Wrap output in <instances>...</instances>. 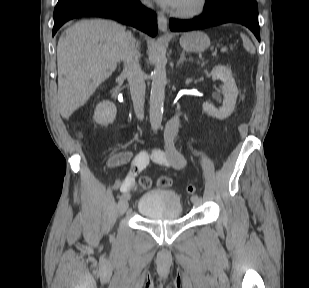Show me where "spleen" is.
<instances>
[{"label": "spleen", "mask_w": 309, "mask_h": 288, "mask_svg": "<svg viewBox=\"0 0 309 288\" xmlns=\"http://www.w3.org/2000/svg\"><path fill=\"white\" fill-rule=\"evenodd\" d=\"M241 37H242L243 45H244L245 49L249 53L254 54L255 48H254L253 44L251 43V41L245 35H241Z\"/></svg>", "instance_id": "spleen-1"}]
</instances>
